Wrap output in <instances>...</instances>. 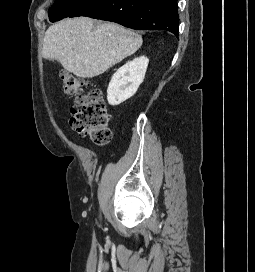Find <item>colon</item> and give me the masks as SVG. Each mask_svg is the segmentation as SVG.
<instances>
[{
  "label": "colon",
  "instance_id": "obj_1",
  "mask_svg": "<svg viewBox=\"0 0 255 272\" xmlns=\"http://www.w3.org/2000/svg\"><path fill=\"white\" fill-rule=\"evenodd\" d=\"M65 94L75 97L71 109L70 126L81 136H88L98 146L107 145L112 138L111 115L105 106L102 92L87 80L61 71Z\"/></svg>",
  "mask_w": 255,
  "mask_h": 272
}]
</instances>
